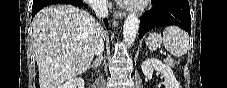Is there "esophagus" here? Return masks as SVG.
I'll list each match as a JSON object with an SVG mask.
<instances>
[{
  "instance_id": "34e87169",
  "label": "esophagus",
  "mask_w": 227,
  "mask_h": 88,
  "mask_svg": "<svg viewBox=\"0 0 227 88\" xmlns=\"http://www.w3.org/2000/svg\"><path fill=\"white\" fill-rule=\"evenodd\" d=\"M126 16V13L123 11H114L113 12V18L114 19H122Z\"/></svg>"
}]
</instances>
